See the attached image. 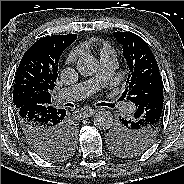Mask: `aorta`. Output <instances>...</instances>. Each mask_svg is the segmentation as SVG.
I'll return each mask as SVG.
<instances>
[{"label":"aorta","instance_id":"obj_1","mask_svg":"<svg viewBox=\"0 0 184 184\" xmlns=\"http://www.w3.org/2000/svg\"><path fill=\"white\" fill-rule=\"evenodd\" d=\"M99 68L98 60L92 55L82 56L77 61V70L82 76H92ZM93 123L100 130H107L113 125V115L110 111L101 110L93 116Z\"/></svg>","mask_w":184,"mask_h":184}]
</instances>
